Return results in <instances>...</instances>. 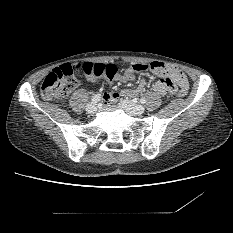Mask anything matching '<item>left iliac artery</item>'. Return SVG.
I'll return each instance as SVG.
<instances>
[{"instance_id": "44dca946", "label": "left iliac artery", "mask_w": 233, "mask_h": 233, "mask_svg": "<svg viewBox=\"0 0 233 233\" xmlns=\"http://www.w3.org/2000/svg\"><path fill=\"white\" fill-rule=\"evenodd\" d=\"M140 102H141L142 104H144V103H146V99H145V98H141V99H140Z\"/></svg>"}]
</instances>
